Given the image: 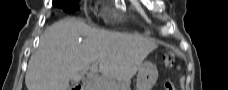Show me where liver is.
<instances>
[{
    "instance_id": "liver-1",
    "label": "liver",
    "mask_w": 228,
    "mask_h": 90,
    "mask_svg": "<svg viewBox=\"0 0 228 90\" xmlns=\"http://www.w3.org/2000/svg\"><path fill=\"white\" fill-rule=\"evenodd\" d=\"M156 48L154 40L139 34L99 30L65 18L41 36L25 84L28 90H68L70 80L79 82L86 67L98 68L109 82L127 83Z\"/></svg>"
}]
</instances>
